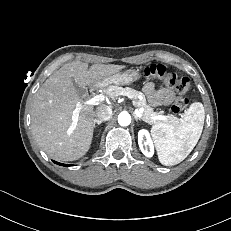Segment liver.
Listing matches in <instances>:
<instances>
[{"instance_id":"liver-1","label":"liver","mask_w":231,"mask_h":231,"mask_svg":"<svg viewBox=\"0 0 231 231\" xmlns=\"http://www.w3.org/2000/svg\"><path fill=\"white\" fill-rule=\"evenodd\" d=\"M123 65L88 64L73 61L54 72L35 94L31 107V126L38 145L51 157L74 161L89 150L93 138L96 111L87 105L73 85L84 89L120 71ZM73 79V80H72ZM80 109L73 130L72 115Z\"/></svg>"}]
</instances>
